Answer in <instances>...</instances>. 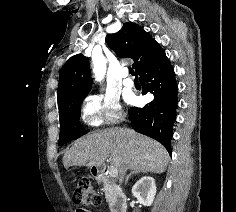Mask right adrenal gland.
<instances>
[{
	"label": "right adrenal gland",
	"instance_id": "obj_1",
	"mask_svg": "<svg viewBox=\"0 0 236 212\" xmlns=\"http://www.w3.org/2000/svg\"><path fill=\"white\" fill-rule=\"evenodd\" d=\"M141 172H142V173H145V171H143V170H138V169L131 171V173L126 177L125 185L128 183L129 179H130L133 175H137V174H139V173H141Z\"/></svg>",
	"mask_w": 236,
	"mask_h": 212
}]
</instances>
